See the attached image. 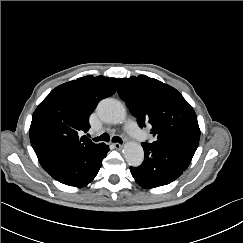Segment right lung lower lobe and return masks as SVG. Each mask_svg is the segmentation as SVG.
<instances>
[{"mask_svg": "<svg viewBox=\"0 0 243 243\" xmlns=\"http://www.w3.org/2000/svg\"><path fill=\"white\" fill-rule=\"evenodd\" d=\"M109 146H101L81 153H68L41 164L57 181L75 187L90 183L97 175Z\"/></svg>", "mask_w": 243, "mask_h": 243, "instance_id": "1", "label": "right lung lower lobe"}]
</instances>
